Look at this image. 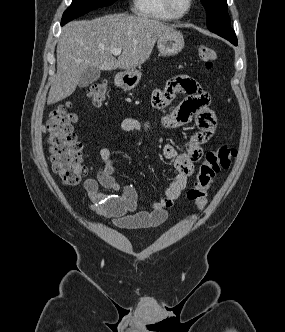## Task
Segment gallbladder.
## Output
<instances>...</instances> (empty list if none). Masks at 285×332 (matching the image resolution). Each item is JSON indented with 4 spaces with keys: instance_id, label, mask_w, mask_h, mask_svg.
Here are the masks:
<instances>
[{
    "instance_id": "gallbladder-1",
    "label": "gallbladder",
    "mask_w": 285,
    "mask_h": 332,
    "mask_svg": "<svg viewBox=\"0 0 285 332\" xmlns=\"http://www.w3.org/2000/svg\"><path fill=\"white\" fill-rule=\"evenodd\" d=\"M101 71L99 69L89 67L81 75L78 86L80 88H85L91 83L97 81L100 78Z\"/></svg>"
}]
</instances>
